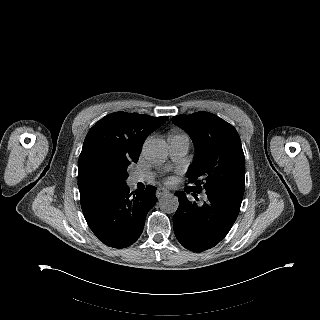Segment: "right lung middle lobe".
<instances>
[{"instance_id":"right-lung-middle-lobe-1","label":"right lung middle lobe","mask_w":320,"mask_h":320,"mask_svg":"<svg viewBox=\"0 0 320 320\" xmlns=\"http://www.w3.org/2000/svg\"><path fill=\"white\" fill-rule=\"evenodd\" d=\"M127 167L128 164H124L117 168L107 170L102 176V181L108 185L126 184L125 179L128 177Z\"/></svg>"}]
</instances>
